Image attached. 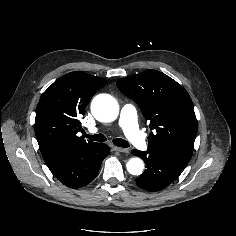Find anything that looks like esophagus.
Returning a JSON list of instances; mask_svg holds the SVG:
<instances>
[{"label": "esophagus", "mask_w": 236, "mask_h": 236, "mask_svg": "<svg viewBox=\"0 0 236 236\" xmlns=\"http://www.w3.org/2000/svg\"><path fill=\"white\" fill-rule=\"evenodd\" d=\"M112 149L114 151L121 152V153H128L129 152V150L127 148H121V147H117V146H113Z\"/></svg>", "instance_id": "obj_1"}]
</instances>
